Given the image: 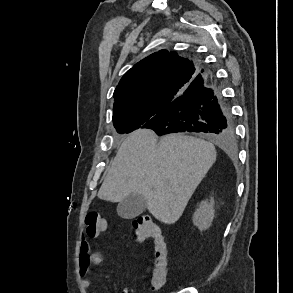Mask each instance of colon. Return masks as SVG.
<instances>
[{"mask_svg": "<svg viewBox=\"0 0 293 293\" xmlns=\"http://www.w3.org/2000/svg\"><path fill=\"white\" fill-rule=\"evenodd\" d=\"M86 233L95 238L109 229L108 222L99 212L90 211L85 216ZM134 238L137 242L154 241V253L150 267V281L154 291L160 290L168 273L167 248L159 225L153 217L143 215L132 222Z\"/></svg>", "mask_w": 293, "mask_h": 293, "instance_id": "obj_1", "label": "colon"}]
</instances>
